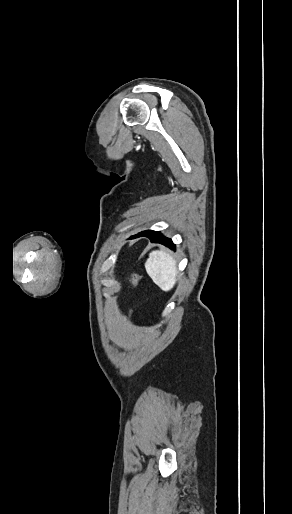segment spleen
<instances>
[{
    "label": "spleen",
    "instance_id": "1",
    "mask_svg": "<svg viewBox=\"0 0 292 514\" xmlns=\"http://www.w3.org/2000/svg\"><path fill=\"white\" fill-rule=\"evenodd\" d=\"M176 266L174 258L164 250L151 252L145 262V270L148 276L163 292H169L174 288L178 274Z\"/></svg>",
    "mask_w": 292,
    "mask_h": 514
}]
</instances>
